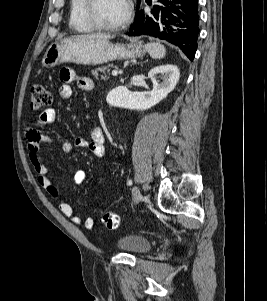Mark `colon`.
<instances>
[{
  "mask_svg": "<svg viewBox=\"0 0 267 301\" xmlns=\"http://www.w3.org/2000/svg\"><path fill=\"white\" fill-rule=\"evenodd\" d=\"M52 101L50 92L42 85H33L30 88V107L34 110L48 106ZM102 221L109 230H114L119 226L120 219L118 215L112 212H104Z\"/></svg>",
  "mask_w": 267,
  "mask_h": 301,
  "instance_id": "5ec220e1",
  "label": "colon"
}]
</instances>
